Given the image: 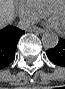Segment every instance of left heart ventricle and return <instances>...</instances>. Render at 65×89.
<instances>
[{
    "mask_svg": "<svg viewBox=\"0 0 65 89\" xmlns=\"http://www.w3.org/2000/svg\"><path fill=\"white\" fill-rule=\"evenodd\" d=\"M50 17L59 28L65 29V7L63 5L52 7Z\"/></svg>",
    "mask_w": 65,
    "mask_h": 89,
    "instance_id": "b2bd125f",
    "label": "left heart ventricle"
}]
</instances>
